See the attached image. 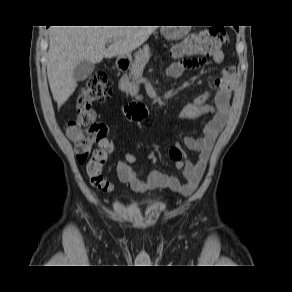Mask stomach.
I'll return each mask as SVG.
<instances>
[{"mask_svg": "<svg viewBox=\"0 0 292 292\" xmlns=\"http://www.w3.org/2000/svg\"><path fill=\"white\" fill-rule=\"evenodd\" d=\"M183 37V34L181 31L178 30H174V31H170L169 32V38L170 39H181ZM130 56V55H129ZM127 56V57H129ZM121 58H125V57H120Z\"/></svg>", "mask_w": 292, "mask_h": 292, "instance_id": "0dacf381", "label": "stomach"}]
</instances>
